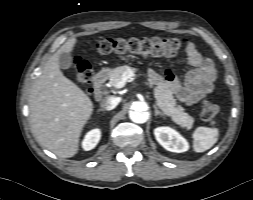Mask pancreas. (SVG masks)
<instances>
[{
    "mask_svg": "<svg viewBox=\"0 0 253 200\" xmlns=\"http://www.w3.org/2000/svg\"><path fill=\"white\" fill-rule=\"evenodd\" d=\"M128 71L136 72V69L126 65L112 69L109 73V83L115 86L121 80L122 75ZM148 76L150 86H154V97L161 111L181 127L190 129L194 119L184 112L183 107H176V99L173 97L169 85L151 69L148 71Z\"/></svg>",
    "mask_w": 253,
    "mask_h": 200,
    "instance_id": "pancreas-1",
    "label": "pancreas"
}]
</instances>
